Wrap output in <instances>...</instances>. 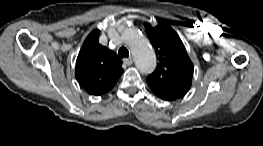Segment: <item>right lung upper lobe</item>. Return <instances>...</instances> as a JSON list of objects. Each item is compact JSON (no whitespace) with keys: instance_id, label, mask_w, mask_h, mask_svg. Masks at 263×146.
<instances>
[{"instance_id":"1","label":"right lung upper lobe","mask_w":263,"mask_h":146,"mask_svg":"<svg viewBox=\"0 0 263 146\" xmlns=\"http://www.w3.org/2000/svg\"><path fill=\"white\" fill-rule=\"evenodd\" d=\"M98 29L85 39L77 57L75 76L78 83L91 95H102L111 90L123 73L122 61L108 48L99 44Z\"/></svg>"}]
</instances>
